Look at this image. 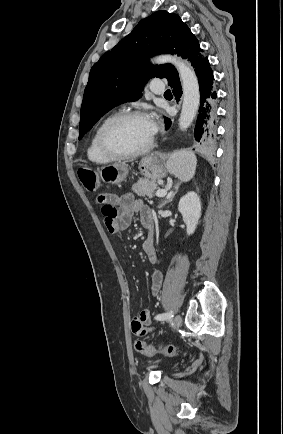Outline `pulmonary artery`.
Returning <instances> with one entry per match:
<instances>
[{"label":"pulmonary artery","instance_id":"obj_1","mask_svg":"<svg viewBox=\"0 0 283 434\" xmlns=\"http://www.w3.org/2000/svg\"><path fill=\"white\" fill-rule=\"evenodd\" d=\"M151 91L154 94H162L165 90L164 84L161 81H153L150 86Z\"/></svg>","mask_w":283,"mask_h":434}]
</instances>
